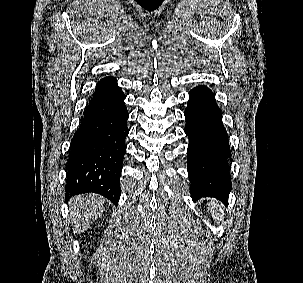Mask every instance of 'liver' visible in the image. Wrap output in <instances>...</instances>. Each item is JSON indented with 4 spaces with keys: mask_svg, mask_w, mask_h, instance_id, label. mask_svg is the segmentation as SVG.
Returning a JSON list of instances; mask_svg holds the SVG:
<instances>
[{
    "mask_svg": "<svg viewBox=\"0 0 303 283\" xmlns=\"http://www.w3.org/2000/svg\"><path fill=\"white\" fill-rule=\"evenodd\" d=\"M104 198L95 194L79 195L69 203L68 219L75 233H81L102 215Z\"/></svg>",
    "mask_w": 303,
    "mask_h": 283,
    "instance_id": "1",
    "label": "liver"
}]
</instances>
